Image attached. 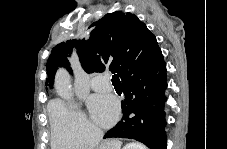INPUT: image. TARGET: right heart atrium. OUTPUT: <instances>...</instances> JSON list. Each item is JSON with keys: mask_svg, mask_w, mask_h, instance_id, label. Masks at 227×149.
Segmentation results:
<instances>
[{"mask_svg": "<svg viewBox=\"0 0 227 149\" xmlns=\"http://www.w3.org/2000/svg\"><path fill=\"white\" fill-rule=\"evenodd\" d=\"M52 143L60 149H80L94 146L101 130L76 107L56 99L50 106Z\"/></svg>", "mask_w": 227, "mask_h": 149, "instance_id": "obj_1", "label": "right heart atrium"}]
</instances>
